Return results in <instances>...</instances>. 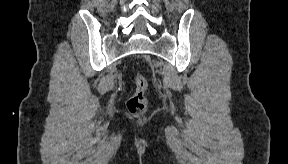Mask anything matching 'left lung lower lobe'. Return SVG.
Segmentation results:
<instances>
[{
    "instance_id": "1",
    "label": "left lung lower lobe",
    "mask_w": 288,
    "mask_h": 164,
    "mask_svg": "<svg viewBox=\"0 0 288 164\" xmlns=\"http://www.w3.org/2000/svg\"><path fill=\"white\" fill-rule=\"evenodd\" d=\"M256 81H257L256 90L253 93L255 97L261 101L264 98L263 92L266 87V78L263 74L256 73Z\"/></svg>"
}]
</instances>
